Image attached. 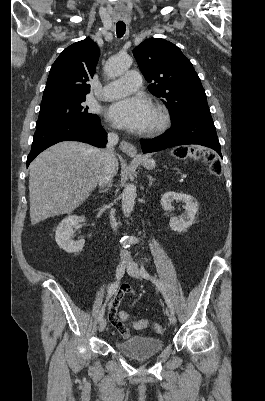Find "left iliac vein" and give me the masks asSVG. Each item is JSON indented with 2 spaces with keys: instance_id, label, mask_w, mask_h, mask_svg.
<instances>
[{
  "instance_id": "left-iliac-vein-1",
  "label": "left iliac vein",
  "mask_w": 265,
  "mask_h": 401,
  "mask_svg": "<svg viewBox=\"0 0 265 401\" xmlns=\"http://www.w3.org/2000/svg\"><path fill=\"white\" fill-rule=\"evenodd\" d=\"M128 273L131 275V276H133L134 278H141V274H140V270H139V268L137 267V265L135 264V263H131V264H129V267H128ZM169 322H170V324H172V325H175L176 324V316H175V314L173 313V312H169Z\"/></svg>"
}]
</instances>
